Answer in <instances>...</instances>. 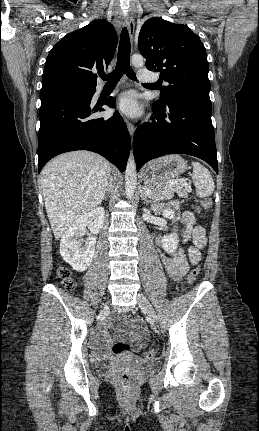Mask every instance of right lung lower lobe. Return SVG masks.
Segmentation results:
<instances>
[{
  "label": "right lung lower lobe",
  "mask_w": 259,
  "mask_h": 431,
  "mask_svg": "<svg viewBox=\"0 0 259 431\" xmlns=\"http://www.w3.org/2000/svg\"><path fill=\"white\" fill-rule=\"evenodd\" d=\"M96 89L64 93L41 100L38 140V172L56 155L73 150L96 152L124 171L130 151V135L121 115L94 118L103 108L90 107ZM115 107L112 97L104 103Z\"/></svg>",
  "instance_id": "right-lung-lower-lobe-1"
}]
</instances>
